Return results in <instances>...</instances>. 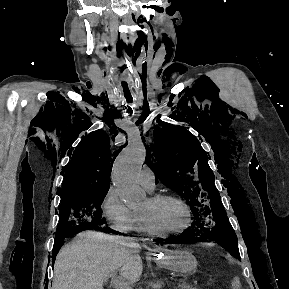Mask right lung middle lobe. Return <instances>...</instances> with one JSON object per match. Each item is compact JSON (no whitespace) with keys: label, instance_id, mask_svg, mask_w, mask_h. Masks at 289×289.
Segmentation results:
<instances>
[{"label":"right lung middle lobe","instance_id":"right-lung-middle-lobe-1","mask_svg":"<svg viewBox=\"0 0 289 289\" xmlns=\"http://www.w3.org/2000/svg\"><path fill=\"white\" fill-rule=\"evenodd\" d=\"M107 192L101 190L62 197L56 236L104 226L106 220L102 218L100 206Z\"/></svg>","mask_w":289,"mask_h":289}]
</instances>
